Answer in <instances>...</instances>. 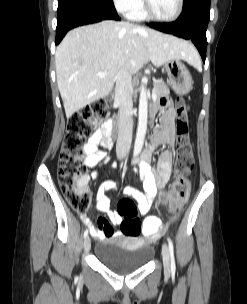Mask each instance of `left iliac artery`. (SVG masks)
<instances>
[{
  "label": "left iliac artery",
  "instance_id": "1",
  "mask_svg": "<svg viewBox=\"0 0 247 304\" xmlns=\"http://www.w3.org/2000/svg\"><path fill=\"white\" fill-rule=\"evenodd\" d=\"M169 243V252H170V258H171V270L172 272H175L176 266H175V259H174V246L171 241V239H168Z\"/></svg>",
  "mask_w": 247,
  "mask_h": 304
}]
</instances>
